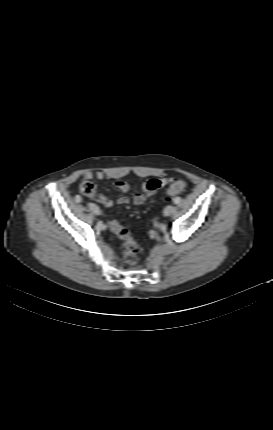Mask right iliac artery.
<instances>
[{"instance_id": "82829eb1", "label": "right iliac artery", "mask_w": 273, "mask_h": 430, "mask_svg": "<svg viewBox=\"0 0 273 430\" xmlns=\"http://www.w3.org/2000/svg\"><path fill=\"white\" fill-rule=\"evenodd\" d=\"M75 200H76V202H80V201H81V197H80L79 195H77V196L75 197Z\"/></svg>"}]
</instances>
